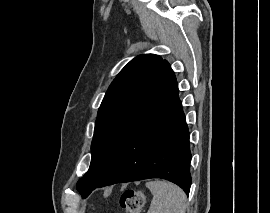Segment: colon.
Returning a JSON list of instances; mask_svg holds the SVG:
<instances>
[{
  "mask_svg": "<svg viewBox=\"0 0 270 213\" xmlns=\"http://www.w3.org/2000/svg\"><path fill=\"white\" fill-rule=\"evenodd\" d=\"M145 202V195L140 190L127 189L120 197V206L124 213H140Z\"/></svg>",
  "mask_w": 270,
  "mask_h": 213,
  "instance_id": "colon-1",
  "label": "colon"
}]
</instances>
